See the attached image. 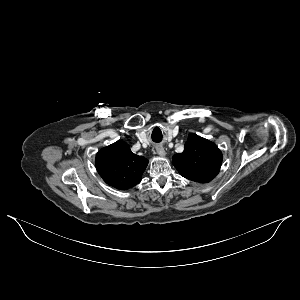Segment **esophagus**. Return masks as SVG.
<instances>
[{
    "instance_id": "obj_1",
    "label": "esophagus",
    "mask_w": 300,
    "mask_h": 300,
    "mask_svg": "<svg viewBox=\"0 0 300 300\" xmlns=\"http://www.w3.org/2000/svg\"><path fill=\"white\" fill-rule=\"evenodd\" d=\"M155 148H156V153H157L159 156H161V157L166 156V151H165V149L163 148L162 145H157Z\"/></svg>"
}]
</instances>
